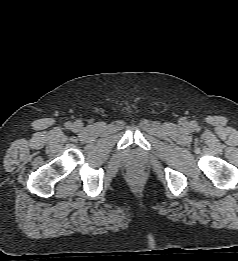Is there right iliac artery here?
Returning <instances> with one entry per match:
<instances>
[{
    "instance_id": "1",
    "label": "right iliac artery",
    "mask_w": 238,
    "mask_h": 261,
    "mask_svg": "<svg viewBox=\"0 0 238 261\" xmlns=\"http://www.w3.org/2000/svg\"><path fill=\"white\" fill-rule=\"evenodd\" d=\"M65 127H66L67 129H71L72 123H71V122H66Z\"/></svg>"
}]
</instances>
